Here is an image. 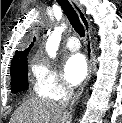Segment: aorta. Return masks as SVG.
Segmentation results:
<instances>
[{
  "label": "aorta",
  "mask_w": 122,
  "mask_h": 123,
  "mask_svg": "<svg viewBox=\"0 0 122 123\" xmlns=\"http://www.w3.org/2000/svg\"><path fill=\"white\" fill-rule=\"evenodd\" d=\"M62 32H63L62 27L55 28L54 33L52 34V36L50 37V39L46 44L47 53L52 58L56 56V51L58 50Z\"/></svg>",
  "instance_id": "1"
}]
</instances>
